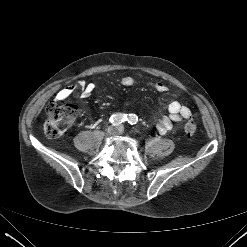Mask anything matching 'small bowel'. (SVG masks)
Masks as SVG:
<instances>
[{
	"mask_svg": "<svg viewBox=\"0 0 247 247\" xmlns=\"http://www.w3.org/2000/svg\"><path fill=\"white\" fill-rule=\"evenodd\" d=\"M135 82V79L131 76H124L121 79V84L126 87L133 86ZM151 86L160 93L168 91V86L162 81L152 83ZM78 89L81 91V96L83 98H88L93 93L95 85L93 83H86L84 81H80L76 85H68L62 88L56 94L55 100L64 101ZM168 112L169 115L163 116L157 123V129L162 134L171 130L173 127V123H178L184 119H189L192 116V111L190 110V108L182 105L178 101H171L168 104Z\"/></svg>",
	"mask_w": 247,
	"mask_h": 247,
	"instance_id": "small-bowel-1",
	"label": "small bowel"
}]
</instances>
